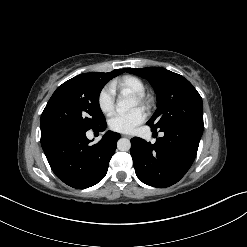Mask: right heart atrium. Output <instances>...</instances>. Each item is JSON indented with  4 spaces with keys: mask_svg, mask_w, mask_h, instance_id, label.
I'll use <instances>...</instances> for the list:
<instances>
[{
    "mask_svg": "<svg viewBox=\"0 0 247 247\" xmlns=\"http://www.w3.org/2000/svg\"><path fill=\"white\" fill-rule=\"evenodd\" d=\"M98 105L100 110L110 115L115 108V96L114 92L110 87L103 88L98 95Z\"/></svg>",
    "mask_w": 247,
    "mask_h": 247,
    "instance_id": "d8ad5b80",
    "label": "right heart atrium"
}]
</instances>
